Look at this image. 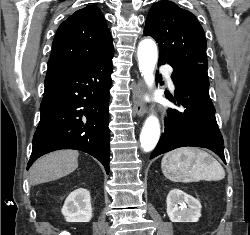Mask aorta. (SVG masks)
Returning a JSON list of instances; mask_svg holds the SVG:
<instances>
[{"label": "aorta", "mask_w": 250, "mask_h": 235, "mask_svg": "<svg viewBox=\"0 0 250 235\" xmlns=\"http://www.w3.org/2000/svg\"><path fill=\"white\" fill-rule=\"evenodd\" d=\"M158 59L157 46L151 39H144L138 46V63L140 72L146 82L151 88L154 84V68ZM160 137L159 120L151 115L149 116L143 126L140 134L141 147L145 152L153 150Z\"/></svg>", "instance_id": "obj_1"}]
</instances>
